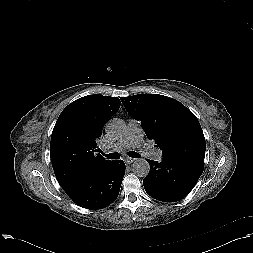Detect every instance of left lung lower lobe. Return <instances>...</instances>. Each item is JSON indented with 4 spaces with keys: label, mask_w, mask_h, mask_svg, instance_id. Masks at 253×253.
I'll use <instances>...</instances> for the list:
<instances>
[{
    "label": "left lung lower lobe",
    "mask_w": 253,
    "mask_h": 253,
    "mask_svg": "<svg viewBox=\"0 0 253 253\" xmlns=\"http://www.w3.org/2000/svg\"><path fill=\"white\" fill-rule=\"evenodd\" d=\"M150 171L143 179L149 196L163 202H176L187 196L204 168V159L189 155L162 156L148 160Z\"/></svg>",
    "instance_id": "0a47b994"
}]
</instances>
